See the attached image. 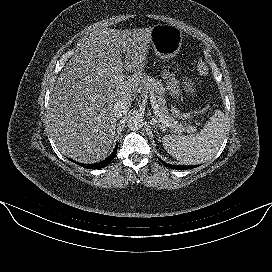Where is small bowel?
Wrapping results in <instances>:
<instances>
[{"label":"small bowel","mask_w":272,"mask_h":272,"mask_svg":"<svg viewBox=\"0 0 272 272\" xmlns=\"http://www.w3.org/2000/svg\"><path fill=\"white\" fill-rule=\"evenodd\" d=\"M166 80H167V85H168V89H169L170 93L174 97L180 96V94L182 92V88H181L176 76L170 70H167V72H166ZM185 90L192 91V89L189 85L185 86Z\"/></svg>","instance_id":"obj_1"}]
</instances>
